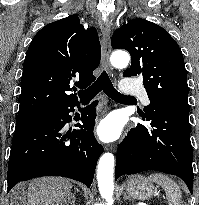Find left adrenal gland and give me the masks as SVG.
<instances>
[{"label": "left adrenal gland", "instance_id": "a2214340", "mask_svg": "<svg viewBox=\"0 0 199 205\" xmlns=\"http://www.w3.org/2000/svg\"><path fill=\"white\" fill-rule=\"evenodd\" d=\"M123 198H124L125 200H127V199H128L129 201H131V198H130V197H128L126 193H124V197H123Z\"/></svg>", "mask_w": 199, "mask_h": 205}]
</instances>
